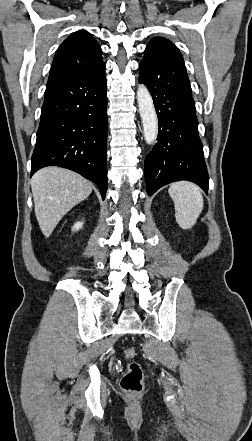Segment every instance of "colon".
I'll return each mask as SVG.
<instances>
[{
  "label": "colon",
  "mask_w": 252,
  "mask_h": 441,
  "mask_svg": "<svg viewBox=\"0 0 252 441\" xmlns=\"http://www.w3.org/2000/svg\"><path fill=\"white\" fill-rule=\"evenodd\" d=\"M136 350L127 347L124 350V357L127 360V370L121 379V388L131 396L140 394L143 390V370L140 364L134 361Z\"/></svg>",
  "instance_id": "1"
}]
</instances>
